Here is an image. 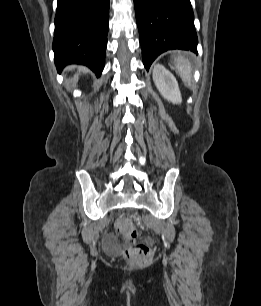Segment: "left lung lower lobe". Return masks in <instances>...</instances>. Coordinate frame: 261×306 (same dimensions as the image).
Segmentation results:
<instances>
[{"instance_id": "0a47b994", "label": "left lung lower lobe", "mask_w": 261, "mask_h": 306, "mask_svg": "<svg viewBox=\"0 0 261 306\" xmlns=\"http://www.w3.org/2000/svg\"><path fill=\"white\" fill-rule=\"evenodd\" d=\"M142 57L152 62L171 49L197 53V34L190 0H134Z\"/></svg>"}]
</instances>
